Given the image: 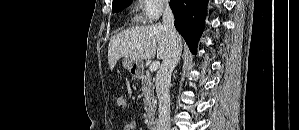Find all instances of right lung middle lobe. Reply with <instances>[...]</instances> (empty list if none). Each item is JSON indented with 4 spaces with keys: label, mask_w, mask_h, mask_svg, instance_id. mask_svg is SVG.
Instances as JSON below:
<instances>
[{
    "label": "right lung middle lobe",
    "mask_w": 299,
    "mask_h": 130,
    "mask_svg": "<svg viewBox=\"0 0 299 130\" xmlns=\"http://www.w3.org/2000/svg\"><path fill=\"white\" fill-rule=\"evenodd\" d=\"M133 0H116L112 3V12L122 10L126 6L130 5Z\"/></svg>",
    "instance_id": "dd1d6c3e"
}]
</instances>
